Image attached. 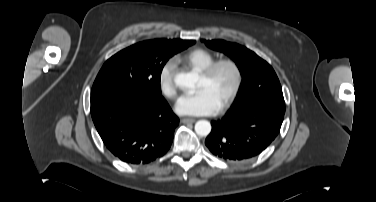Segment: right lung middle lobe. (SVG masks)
<instances>
[{"label":"right lung middle lobe","mask_w":376,"mask_h":202,"mask_svg":"<svg viewBox=\"0 0 376 202\" xmlns=\"http://www.w3.org/2000/svg\"><path fill=\"white\" fill-rule=\"evenodd\" d=\"M194 43L193 40L156 39L121 50L104 63L91 94L116 89L161 96L160 75L165 63Z\"/></svg>","instance_id":"right-lung-middle-lobe-1"}]
</instances>
